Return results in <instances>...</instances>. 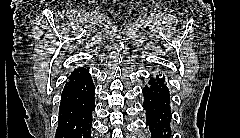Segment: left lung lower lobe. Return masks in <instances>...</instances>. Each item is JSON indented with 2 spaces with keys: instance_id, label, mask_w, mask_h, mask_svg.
I'll use <instances>...</instances> for the list:
<instances>
[{
  "instance_id": "obj_1",
  "label": "left lung lower lobe",
  "mask_w": 240,
  "mask_h": 138,
  "mask_svg": "<svg viewBox=\"0 0 240 138\" xmlns=\"http://www.w3.org/2000/svg\"><path fill=\"white\" fill-rule=\"evenodd\" d=\"M162 76V74H160ZM165 77L156 76L151 78L149 86L143 88L144 103L146 110V125L154 138H170V95L165 85Z\"/></svg>"
}]
</instances>
